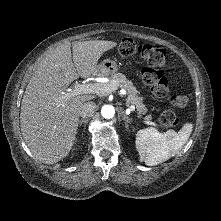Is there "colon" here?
Returning <instances> with one entry per match:
<instances>
[{
    "label": "colon",
    "instance_id": "colon-1",
    "mask_svg": "<svg viewBox=\"0 0 221 221\" xmlns=\"http://www.w3.org/2000/svg\"><path fill=\"white\" fill-rule=\"evenodd\" d=\"M119 54L130 56L138 54L147 63L142 69L143 81L149 85L153 93L158 97H165L168 94V81L164 76L166 63V52L149 44H136L132 39H123L118 46ZM188 98L184 91L177 89L170 96V103L173 107L182 108L187 104ZM165 127H175L178 124V117L172 110H165L160 118Z\"/></svg>",
    "mask_w": 221,
    "mask_h": 221
}]
</instances>
